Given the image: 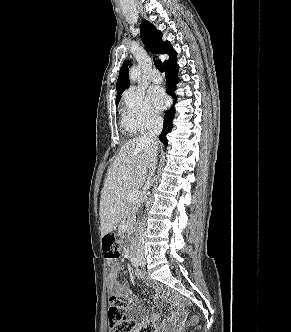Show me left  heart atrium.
Masks as SVG:
<instances>
[{
    "label": "left heart atrium",
    "instance_id": "left-heart-atrium-1",
    "mask_svg": "<svg viewBox=\"0 0 291 332\" xmlns=\"http://www.w3.org/2000/svg\"><path fill=\"white\" fill-rule=\"evenodd\" d=\"M149 96L157 109H163L167 104V97L160 88H152Z\"/></svg>",
    "mask_w": 291,
    "mask_h": 332
}]
</instances>
